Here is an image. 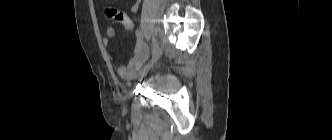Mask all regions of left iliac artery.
Listing matches in <instances>:
<instances>
[{
    "instance_id": "obj_1",
    "label": "left iliac artery",
    "mask_w": 332,
    "mask_h": 140,
    "mask_svg": "<svg viewBox=\"0 0 332 140\" xmlns=\"http://www.w3.org/2000/svg\"><path fill=\"white\" fill-rule=\"evenodd\" d=\"M158 47H159L158 41H157L156 37L153 36V38H152V55L156 52Z\"/></svg>"
}]
</instances>
